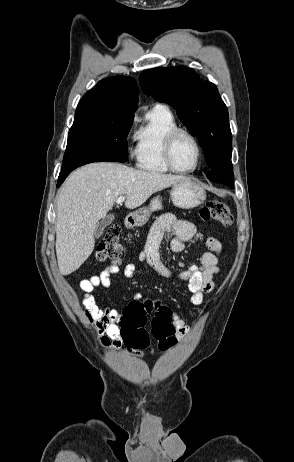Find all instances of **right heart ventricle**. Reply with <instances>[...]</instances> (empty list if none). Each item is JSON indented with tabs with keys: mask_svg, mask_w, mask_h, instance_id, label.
<instances>
[{
	"mask_svg": "<svg viewBox=\"0 0 294 462\" xmlns=\"http://www.w3.org/2000/svg\"><path fill=\"white\" fill-rule=\"evenodd\" d=\"M178 128L171 110L164 105H155L146 112L136 131L135 158L137 167L154 174L170 170L163 159V144L166 135Z\"/></svg>",
	"mask_w": 294,
	"mask_h": 462,
	"instance_id": "obj_1",
	"label": "right heart ventricle"
}]
</instances>
